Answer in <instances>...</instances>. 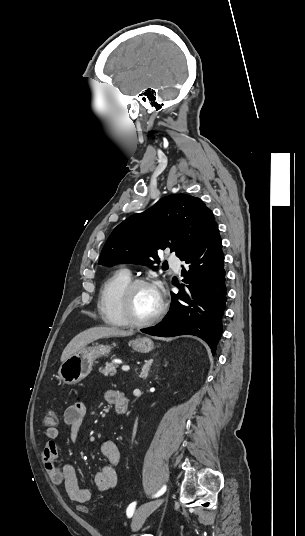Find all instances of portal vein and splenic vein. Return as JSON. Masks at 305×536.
<instances>
[{
  "label": "portal vein and splenic vein",
  "instance_id": "18ae733b",
  "mask_svg": "<svg viewBox=\"0 0 305 536\" xmlns=\"http://www.w3.org/2000/svg\"><path fill=\"white\" fill-rule=\"evenodd\" d=\"M123 372H128L130 370L129 366H122Z\"/></svg>",
  "mask_w": 305,
  "mask_h": 536
}]
</instances>
